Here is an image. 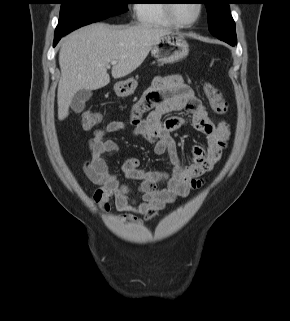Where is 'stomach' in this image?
Instances as JSON below:
<instances>
[{"mask_svg": "<svg viewBox=\"0 0 290 321\" xmlns=\"http://www.w3.org/2000/svg\"><path fill=\"white\" fill-rule=\"evenodd\" d=\"M189 53V45L185 38L174 33L167 34L153 46L152 55L161 64H170L184 59ZM137 81L129 78L114 85V91L119 97L134 93Z\"/></svg>", "mask_w": 290, "mask_h": 321, "instance_id": "stomach-1", "label": "stomach"}]
</instances>
